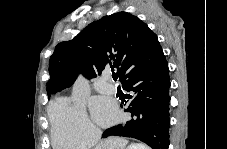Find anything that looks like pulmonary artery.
I'll list each match as a JSON object with an SVG mask.
<instances>
[{
	"label": "pulmonary artery",
	"mask_w": 227,
	"mask_h": 149,
	"mask_svg": "<svg viewBox=\"0 0 227 149\" xmlns=\"http://www.w3.org/2000/svg\"><path fill=\"white\" fill-rule=\"evenodd\" d=\"M95 87L100 90L114 91V86L111 84V78L106 75L96 81Z\"/></svg>",
	"instance_id": "pulmonary-artery-1"
}]
</instances>
